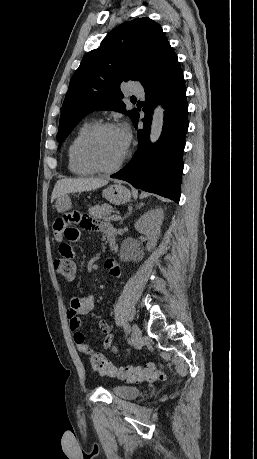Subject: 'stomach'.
Wrapping results in <instances>:
<instances>
[{"mask_svg": "<svg viewBox=\"0 0 257 459\" xmlns=\"http://www.w3.org/2000/svg\"><path fill=\"white\" fill-rule=\"evenodd\" d=\"M103 196L111 203L120 205L128 202L131 198L130 191L121 184H114L108 186L103 190ZM55 207L58 212L67 211L71 209V199L66 195L57 198Z\"/></svg>", "mask_w": 257, "mask_h": 459, "instance_id": "1", "label": "stomach"}]
</instances>
